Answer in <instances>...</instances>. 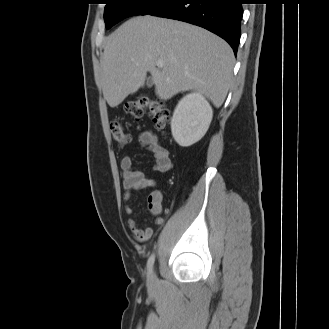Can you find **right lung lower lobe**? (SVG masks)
Returning a JSON list of instances; mask_svg holds the SVG:
<instances>
[{
	"mask_svg": "<svg viewBox=\"0 0 329 329\" xmlns=\"http://www.w3.org/2000/svg\"><path fill=\"white\" fill-rule=\"evenodd\" d=\"M241 0H172L150 15L203 27L226 40L237 53L243 15Z\"/></svg>",
	"mask_w": 329,
	"mask_h": 329,
	"instance_id": "right-lung-lower-lobe-1",
	"label": "right lung lower lobe"
}]
</instances>
